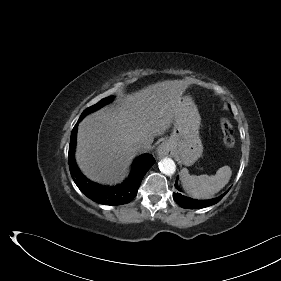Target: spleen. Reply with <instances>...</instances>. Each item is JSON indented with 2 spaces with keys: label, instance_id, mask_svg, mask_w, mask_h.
<instances>
[{
  "label": "spleen",
  "instance_id": "obj_1",
  "mask_svg": "<svg viewBox=\"0 0 281 281\" xmlns=\"http://www.w3.org/2000/svg\"><path fill=\"white\" fill-rule=\"evenodd\" d=\"M232 175L229 166L219 168L215 175H190L187 168L181 170V183L184 190L193 198L210 199L229 182Z\"/></svg>",
  "mask_w": 281,
  "mask_h": 281
}]
</instances>
